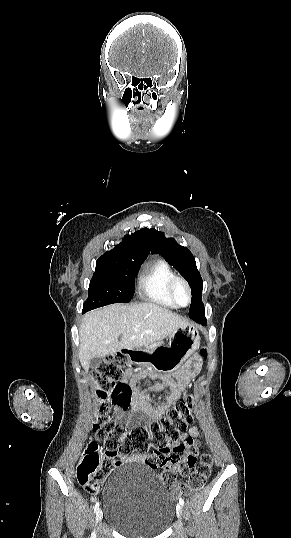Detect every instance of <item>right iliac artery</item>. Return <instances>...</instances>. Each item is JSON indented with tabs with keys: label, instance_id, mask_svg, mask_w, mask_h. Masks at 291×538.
Here are the masks:
<instances>
[{
	"label": "right iliac artery",
	"instance_id": "82829eb1",
	"mask_svg": "<svg viewBox=\"0 0 291 538\" xmlns=\"http://www.w3.org/2000/svg\"><path fill=\"white\" fill-rule=\"evenodd\" d=\"M99 508V502L96 503L95 507H94V512H96Z\"/></svg>",
	"mask_w": 291,
	"mask_h": 538
}]
</instances>
